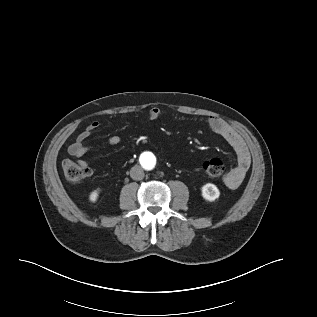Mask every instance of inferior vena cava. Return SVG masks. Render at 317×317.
<instances>
[{"label":"inferior vena cava","mask_w":317,"mask_h":317,"mask_svg":"<svg viewBox=\"0 0 317 317\" xmlns=\"http://www.w3.org/2000/svg\"><path fill=\"white\" fill-rule=\"evenodd\" d=\"M130 176L134 180H142L144 178L145 174H144L143 169L140 166L135 165L130 170Z\"/></svg>","instance_id":"inferior-vena-cava-1"}]
</instances>
